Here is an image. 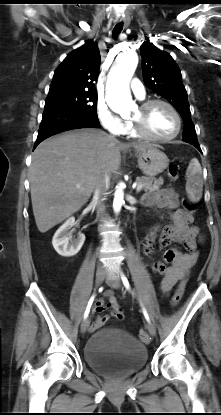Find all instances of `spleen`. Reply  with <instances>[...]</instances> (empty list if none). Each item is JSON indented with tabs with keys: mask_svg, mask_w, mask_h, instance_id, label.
<instances>
[{
	"mask_svg": "<svg viewBox=\"0 0 221 415\" xmlns=\"http://www.w3.org/2000/svg\"><path fill=\"white\" fill-rule=\"evenodd\" d=\"M186 192L192 202H198L202 197L203 178L202 168L198 159L193 158L186 171Z\"/></svg>",
	"mask_w": 221,
	"mask_h": 415,
	"instance_id": "obj_1",
	"label": "spleen"
}]
</instances>
